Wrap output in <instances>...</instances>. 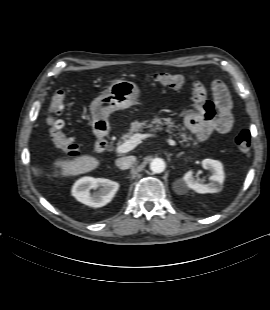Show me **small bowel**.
<instances>
[{"instance_id":"c3829d8e","label":"small bowel","mask_w":270,"mask_h":310,"mask_svg":"<svg viewBox=\"0 0 270 310\" xmlns=\"http://www.w3.org/2000/svg\"><path fill=\"white\" fill-rule=\"evenodd\" d=\"M218 114L209 113L203 105L207 100V91L200 82L193 84V108L186 114L184 125L199 141H205L213 132L227 133L233 127V104L225 84L214 80L211 84Z\"/></svg>"}]
</instances>
